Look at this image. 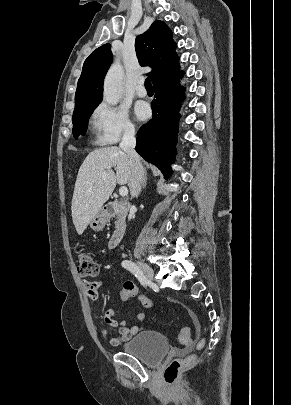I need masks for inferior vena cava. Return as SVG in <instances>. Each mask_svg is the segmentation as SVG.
<instances>
[{
	"mask_svg": "<svg viewBox=\"0 0 291 405\" xmlns=\"http://www.w3.org/2000/svg\"><path fill=\"white\" fill-rule=\"evenodd\" d=\"M135 145V130L134 128L127 129L120 143V148L130 159L131 176L128 185L132 197L139 195L144 180V169L140 162V157L135 151Z\"/></svg>",
	"mask_w": 291,
	"mask_h": 405,
	"instance_id": "602c4592",
	"label": "inferior vena cava"
}]
</instances>
